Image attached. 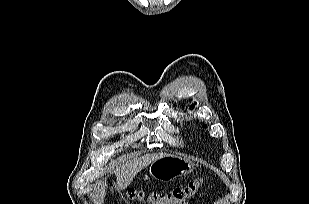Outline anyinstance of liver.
<instances>
[{"instance_id": "6515ba94", "label": "liver", "mask_w": 309, "mask_h": 204, "mask_svg": "<svg viewBox=\"0 0 309 204\" xmlns=\"http://www.w3.org/2000/svg\"><path fill=\"white\" fill-rule=\"evenodd\" d=\"M167 154H152L144 156L142 159H134L119 167L115 171L117 182L114 185L116 190L125 189L130 185L135 175L153 161L166 156Z\"/></svg>"}]
</instances>
